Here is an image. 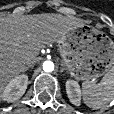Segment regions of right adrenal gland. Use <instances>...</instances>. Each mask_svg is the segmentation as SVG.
<instances>
[{
  "label": "right adrenal gland",
  "mask_w": 114,
  "mask_h": 114,
  "mask_svg": "<svg viewBox=\"0 0 114 114\" xmlns=\"http://www.w3.org/2000/svg\"><path fill=\"white\" fill-rule=\"evenodd\" d=\"M30 68L33 69V66H28V67H26L25 70H24V72L27 71V70H29Z\"/></svg>",
  "instance_id": "2a0ac1e0"
}]
</instances>
